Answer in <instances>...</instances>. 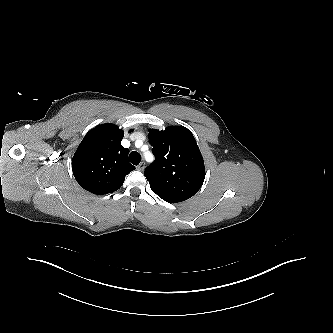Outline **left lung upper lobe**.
Instances as JSON below:
<instances>
[{
    "label": "left lung upper lobe",
    "mask_w": 333,
    "mask_h": 333,
    "mask_svg": "<svg viewBox=\"0 0 333 333\" xmlns=\"http://www.w3.org/2000/svg\"><path fill=\"white\" fill-rule=\"evenodd\" d=\"M148 137L155 161L144 175L153 192L170 203L195 195L204 182L205 166L191 131L183 126H168L164 131L150 129Z\"/></svg>",
    "instance_id": "obj_1"
}]
</instances>
